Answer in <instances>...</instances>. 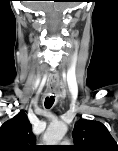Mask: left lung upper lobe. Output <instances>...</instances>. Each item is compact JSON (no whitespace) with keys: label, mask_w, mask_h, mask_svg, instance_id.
I'll use <instances>...</instances> for the list:
<instances>
[{"label":"left lung upper lobe","mask_w":118,"mask_h":151,"mask_svg":"<svg viewBox=\"0 0 118 151\" xmlns=\"http://www.w3.org/2000/svg\"><path fill=\"white\" fill-rule=\"evenodd\" d=\"M74 149L77 151H118V145L107 128L98 121L81 119L74 127Z\"/></svg>","instance_id":"obj_1"}]
</instances>
